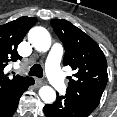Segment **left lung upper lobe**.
<instances>
[{
  "label": "left lung upper lobe",
  "mask_w": 117,
  "mask_h": 117,
  "mask_svg": "<svg viewBox=\"0 0 117 117\" xmlns=\"http://www.w3.org/2000/svg\"><path fill=\"white\" fill-rule=\"evenodd\" d=\"M51 25L65 48L64 65L75 70L66 96L93 112L107 84V61L98 44L66 20L52 19Z\"/></svg>",
  "instance_id": "obj_1"
}]
</instances>
